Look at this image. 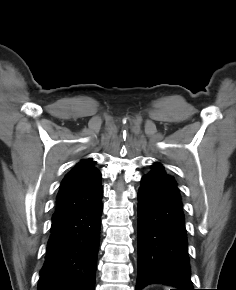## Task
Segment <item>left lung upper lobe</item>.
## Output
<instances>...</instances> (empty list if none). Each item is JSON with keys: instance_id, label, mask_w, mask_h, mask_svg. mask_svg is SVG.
Listing matches in <instances>:
<instances>
[{"instance_id": "5c2ea615", "label": "left lung upper lobe", "mask_w": 236, "mask_h": 290, "mask_svg": "<svg viewBox=\"0 0 236 290\" xmlns=\"http://www.w3.org/2000/svg\"><path fill=\"white\" fill-rule=\"evenodd\" d=\"M150 175L161 177V178L175 182L173 177L166 174L164 167L161 163H154L153 164L152 171L150 172Z\"/></svg>"}]
</instances>
